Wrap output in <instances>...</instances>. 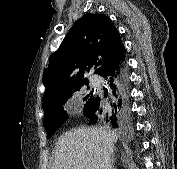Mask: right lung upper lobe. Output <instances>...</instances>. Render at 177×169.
<instances>
[{"mask_svg":"<svg viewBox=\"0 0 177 169\" xmlns=\"http://www.w3.org/2000/svg\"><path fill=\"white\" fill-rule=\"evenodd\" d=\"M125 59V48L112 21L103 14H85L71 28L43 73V105L77 86L88 84L84 74L93 66L100 74Z\"/></svg>","mask_w":177,"mask_h":169,"instance_id":"obj_1","label":"right lung upper lobe"}]
</instances>
